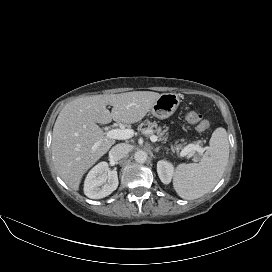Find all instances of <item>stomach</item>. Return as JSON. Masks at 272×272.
Returning <instances> with one entry per match:
<instances>
[{
  "label": "stomach",
  "instance_id": "obj_1",
  "mask_svg": "<svg viewBox=\"0 0 272 272\" xmlns=\"http://www.w3.org/2000/svg\"><path fill=\"white\" fill-rule=\"evenodd\" d=\"M179 103L180 99L176 93H164L157 99L150 112L158 119H166L176 111Z\"/></svg>",
  "mask_w": 272,
  "mask_h": 272
}]
</instances>
